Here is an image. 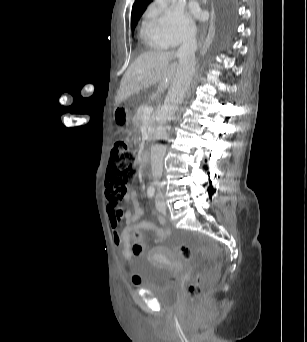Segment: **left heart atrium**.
<instances>
[{"instance_id": "left-heart-atrium-1", "label": "left heart atrium", "mask_w": 307, "mask_h": 342, "mask_svg": "<svg viewBox=\"0 0 307 342\" xmlns=\"http://www.w3.org/2000/svg\"><path fill=\"white\" fill-rule=\"evenodd\" d=\"M199 15H200V12L195 7H191L189 12L186 14L189 21H193L195 18H198Z\"/></svg>"}]
</instances>
